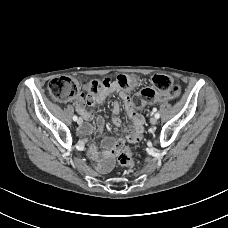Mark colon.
<instances>
[{
    "mask_svg": "<svg viewBox=\"0 0 228 228\" xmlns=\"http://www.w3.org/2000/svg\"><path fill=\"white\" fill-rule=\"evenodd\" d=\"M151 81L153 88H145L133 97L132 105L134 108H142L146 104L171 100L179 96V86L175 84L172 77L158 74L154 75ZM136 83L137 78L129 75H119L116 80L108 77L101 80L93 79L80 82L69 77H59L49 82L48 91L56 101L65 102L83 96L85 93L92 97L98 96L113 84L119 85L123 90H130ZM118 162L128 168L134 166L129 147H124L121 150L118 155Z\"/></svg>",
    "mask_w": 228,
    "mask_h": 228,
    "instance_id": "colon-1",
    "label": "colon"
}]
</instances>
